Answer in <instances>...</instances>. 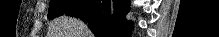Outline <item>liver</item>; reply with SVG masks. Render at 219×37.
<instances>
[{"label": "liver", "mask_w": 219, "mask_h": 37, "mask_svg": "<svg viewBox=\"0 0 219 37\" xmlns=\"http://www.w3.org/2000/svg\"><path fill=\"white\" fill-rule=\"evenodd\" d=\"M48 37H93V34L80 20L59 17L51 23Z\"/></svg>", "instance_id": "1"}]
</instances>
